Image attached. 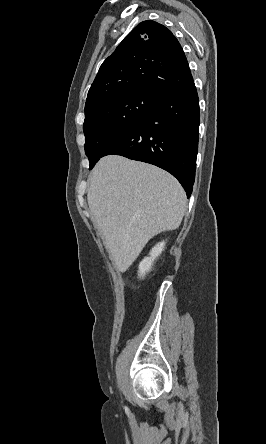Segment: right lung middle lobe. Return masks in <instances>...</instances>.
I'll return each mask as SVG.
<instances>
[{
  "label": "right lung middle lobe",
  "mask_w": 266,
  "mask_h": 444,
  "mask_svg": "<svg viewBox=\"0 0 266 444\" xmlns=\"http://www.w3.org/2000/svg\"><path fill=\"white\" fill-rule=\"evenodd\" d=\"M159 99L157 95L145 91L125 92L104 99L85 110L84 148L90 169L102 157L106 147L139 124Z\"/></svg>",
  "instance_id": "right-lung-middle-lobe-1"
}]
</instances>
